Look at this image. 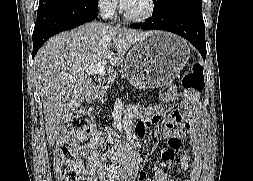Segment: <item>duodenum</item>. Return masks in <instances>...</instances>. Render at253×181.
Returning <instances> with one entry per match:
<instances>
[{
  "instance_id": "410a0bca",
  "label": "duodenum",
  "mask_w": 253,
  "mask_h": 181,
  "mask_svg": "<svg viewBox=\"0 0 253 181\" xmlns=\"http://www.w3.org/2000/svg\"><path fill=\"white\" fill-rule=\"evenodd\" d=\"M102 93H103V92H102V90H101V89H99V90L97 91L96 96H97V97H100V96L102 95Z\"/></svg>"
}]
</instances>
